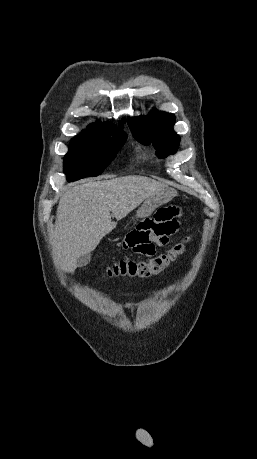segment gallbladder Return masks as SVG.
<instances>
[{
    "label": "gallbladder",
    "instance_id": "bac80fb5",
    "mask_svg": "<svg viewBox=\"0 0 257 459\" xmlns=\"http://www.w3.org/2000/svg\"><path fill=\"white\" fill-rule=\"evenodd\" d=\"M91 260V254H84V255H81L78 259H77V265L79 267H83L85 265H87Z\"/></svg>",
    "mask_w": 257,
    "mask_h": 459
}]
</instances>
